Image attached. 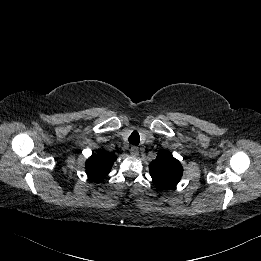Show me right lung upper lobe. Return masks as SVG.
Here are the masks:
<instances>
[{"label":"right lung upper lobe","instance_id":"right-lung-upper-lobe-1","mask_svg":"<svg viewBox=\"0 0 261 261\" xmlns=\"http://www.w3.org/2000/svg\"><path fill=\"white\" fill-rule=\"evenodd\" d=\"M116 158V155L105 150H101L98 154H92L86 161V173L89 179L100 181L106 177Z\"/></svg>","mask_w":261,"mask_h":261}]
</instances>
